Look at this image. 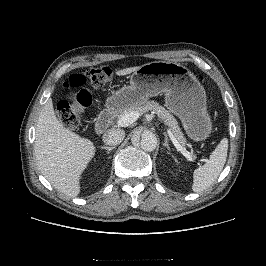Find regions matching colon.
<instances>
[{"instance_id": "obj_1", "label": "colon", "mask_w": 266, "mask_h": 266, "mask_svg": "<svg viewBox=\"0 0 266 266\" xmlns=\"http://www.w3.org/2000/svg\"><path fill=\"white\" fill-rule=\"evenodd\" d=\"M112 79L109 67L99 65L84 69L70 75L65 83V97L57 105V114L61 124L69 129L79 125L80 115L88 110L92 104V96L86 84L89 82L94 88H103Z\"/></svg>"}]
</instances>
